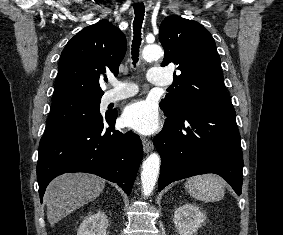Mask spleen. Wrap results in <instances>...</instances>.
<instances>
[{
  "mask_svg": "<svg viewBox=\"0 0 283 235\" xmlns=\"http://www.w3.org/2000/svg\"><path fill=\"white\" fill-rule=\"evenodd\" d=\"M185 189L195 199L205 202L219 201L224 197V181L215 174L198 175L187 179Z\"/></svg>",
  "mask_w": 283,
  "mask_h": 235,
  "instance_id": "3e777b00",
  "label": "spleen"
}]
</instances>
